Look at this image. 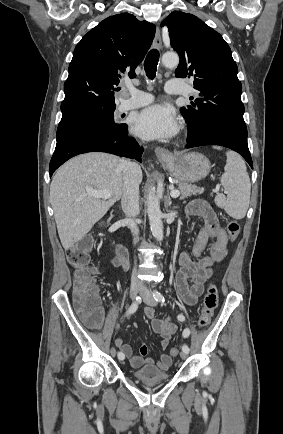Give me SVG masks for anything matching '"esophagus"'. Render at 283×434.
Instances as JSON below:
<instances>
[{
	"label": "esophagus",
	"instance_id": "34e87169",
	"mask_svg": "<svg viewBox=\"0 0 283 434\" xmlns=\"http://www.w3.org/2000/svg\"><path fill=\"white\" fill-rule=\"evenodd\" d=\"M154 44L158 50L162 49V40H161L160 30L158 26L156 27ZM155 154L158 157V159L162 162L170 161L173 158V154L169 150L162 147H156Z\"/></svg>",
	"mask_w": 283,
	"mask_h": 434
}]
</instances>
